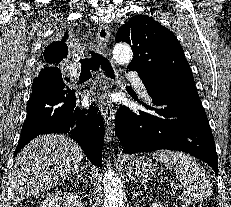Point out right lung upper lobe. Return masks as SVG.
<instances>
[{
    "label": "right lung upper lobe",
    "mask_w": 231,
    "mask_h": 207,
    "mask_svg": "<svg viewBox=\"0 0 231 207\" xmlns=\"http://www.w3.org/2000/svg\"><path fill=\"white\" fill-rule=\"evenodd\" d=\"M66 39L61 42H53L44 51L41 60L43 63L55 64L62 61L68 54L67 44L64 43ZM55 68V67H46Z\"/></svg>",
    "instance_id": "1"
}]
</instances>
